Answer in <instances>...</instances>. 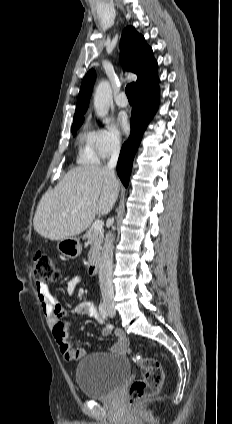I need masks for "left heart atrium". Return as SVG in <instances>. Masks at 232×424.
<instances>
[{"label": "left heart atrium", "mask_w": 232, "mask_h": 424, "mask_svg": "<svg viewBox=\"0 0 232 424\" xmlns=\"http://www.w3.org/2000/svg\"><path fill=\"white\" fill-rule=\"evenodd\" d=\"M119 125L124 133H128L130 126L126 115H120L118 118Z\"/></svg>", "instance_id": "1"}]
</instances>
